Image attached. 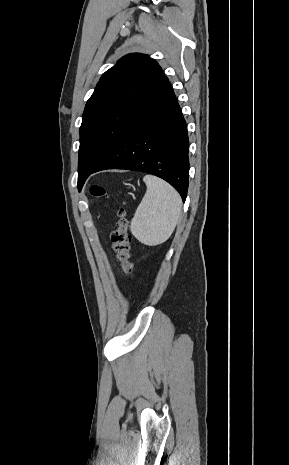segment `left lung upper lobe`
Wrapping results in <instances>:
<instances>
[{
    "label": "left lung upper lobe",
    "instance_id": "obj_1",
    "mask_svg": "<svg viewBox=\"0 0 289 465\" xmlns=\"http://www.w3.org/2000/svg\"><path fill=\"white\" fill-rule=\"evenodd\" d=\"M167 81L159 64L140 53L122 57L102 75L86 103L80 127L79 189Z\"/></svg>",
    "mask_w": 289,
    "mask_h": 465
}]
</instances>
